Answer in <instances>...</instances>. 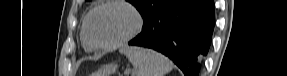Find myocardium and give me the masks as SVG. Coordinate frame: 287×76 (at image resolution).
<instances>
[{"label": "myocardium", "mask_w": 287, "mask_h": 76, "mask_svg": "<svg viewBox=\"0 0 287 76\" xmlns=\"http://www.w3.org/2000/svg\"><path fill=\"white\" fill-rule=\"evenodd\" d=\"M111 6H119L127 9L134 18V24L126 34L117 40L107 44L97 43L92 39L90 35V20L97 11ZM143 24L144 20L142 14L132 3L125 0H110L97 5L88 13L84 21V34L87 41L94 49L108 50L116 48L134 38L141 31Z\"/></svg>", "instance_id": "f54148a6"}]
</instances>
